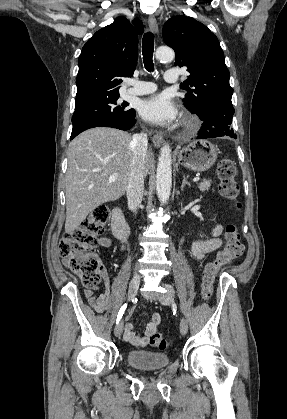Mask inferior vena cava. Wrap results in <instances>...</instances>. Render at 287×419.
<instances>
[{
	"mask_svg": "<svg viewBox=\"0 0 287 419\" xmlns=\"http://www.w3.org/2000/svg\"><path fill=\"white\" fill-rule=\"evenodd\" d=\"M130 145L133 151V157L126 192L128 206L133 212H136L142 202L144 191V164L148 146L147 134H134Z\"/></svg>",
	"mask_w": 287,
	"mask_h": 419,
	"instance_id": "1",
	"label": "inferior vena cava"
}]
</instances>
